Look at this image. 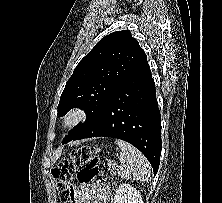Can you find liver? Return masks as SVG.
Instances as JSON below:
<instances>
[{
	"mask_svg": "<svg viewBox=\"0 0 222 203\" xmlns=\"http://www.w3.org/2000/svg\"><path fill=\"white\" fill-rule=\"evenodd\" d=\"M61 151H62V149L61 150H58L57 152H56V154H55V157H54V162L58 159V157L61 155Z\"/></svg>",
	"mask_w": 222,
	"mask_h": 203,
	"instance_id": "6515ba94",
	"label": "liver"
}]
</instances>
